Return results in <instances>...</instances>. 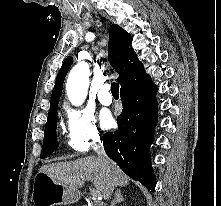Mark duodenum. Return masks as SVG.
<instances>
[{"label": "duodenum", "mask_w": 221, "mask_h": 206, "mask_svg": "<svg viewBox=\"0 0 221 206\" xmlns=\"http://www.w3.org/2000/svg\"><path fill=\"white\" fill-rule=\"evenodd\" d=\"M90 206H105L103 203L98 202V201H91Z\"/></svg>", "instance_id": "duodenum-1"}]
</instances>
